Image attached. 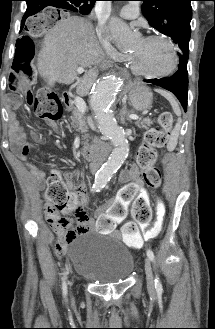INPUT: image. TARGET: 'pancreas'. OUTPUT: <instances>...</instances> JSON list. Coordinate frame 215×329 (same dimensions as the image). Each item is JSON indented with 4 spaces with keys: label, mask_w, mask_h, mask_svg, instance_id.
I'll return each instance as SVG.
<instances>
[{
    "label": "pancreas",
    "mask_w": 215,
    "mask_h": 329,
    "mask_svg": "<svg viewBox=\"0 0 215 329\" xmlns=\"http://www.w3.org/2000/svg\"><path fill=\"white\" fill-rule=\"evenodd\" d=\"M70 110L72 111L71 116V125L72 127L79 132H85L87 129V124L85 121V118L82 116V114L79 112V110L73 106L70 107ZM139 128L148 129L153 122L150 119H144L142 121H137L135 123Z\"/></svg>",
    "instance_id": "cf45deb5"
}]
</instances>
